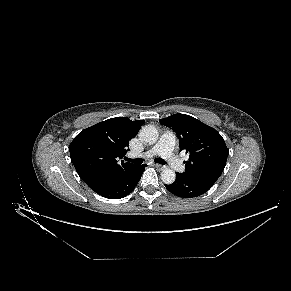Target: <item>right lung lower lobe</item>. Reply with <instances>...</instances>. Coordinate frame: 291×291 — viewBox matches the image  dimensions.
<instances>
[{
	"label": "right lung lower lobe",
	"instance_id": "1",
	"mask_svg": "<svg viewBox=\"0 0 291 291\" xmlns=\"http://www.w3.org/2000/svg\"><path fill=\"white\" fill-rule=\"evenodd\" d=\"M145 167V164L135 165L130 170L100 179L88 186L103 197L110 199L123 198L127 196L139 182Z\"/></svg>",
	"mask_w": 291,
	"mask_h": 291
}]
</instances>
